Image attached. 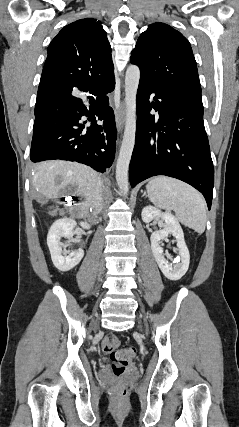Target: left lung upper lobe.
Returning a JSON list of instances; mask_svg holds the SVG:
<instances>
[{
    "instance_id": "1",
    "label": "left lung upper lobe",
    "mask_w": 239,
    "mask_h": 427,
    "mask_svg": "<svg viewBox=\"0 0 239 427\" xmlns=\"http://www.w3.org/2000/svg\"><path fill=\"white\" fill-rule=\"evenodd\" d=\"M131 63L141 79L202 102L196 61L189 41L164 23H154L137 40Z\"/></svg>"
}]
</instances>
